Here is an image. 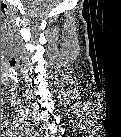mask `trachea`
<instances>
[{"label": "trachea", "instance_id": "3493384b", "mask_svg": "<svg viewBox=\"0 0 121 137\" xmlns=\"http://www.w3.org/2000/svg\"><path fill=\"white\" fill-rule=\"evenodd\" d=\"M1 11L3 12L6 25L10 26V16H9V12H8L7 6H4L3 9L1 8Z\"/></svg>", "mask_w": 121, "mask_h": 137}]
</instances>
